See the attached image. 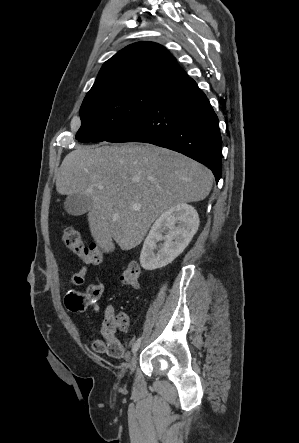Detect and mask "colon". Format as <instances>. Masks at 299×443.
Wrapping results in <instances>:
<instances>
[{
    "instance_id": "obj_1",
    "label": "colon",
    "mask_w": 299,
    "mask_h": 443,
    "mask_svg": "<svg viewBox=\"0 0 299 443\" xmlns=\"http://www.w3.org/2000/svg\"><path fill=\"white\" fill-rule=\"evenodd\" d=\"M62 240L65 245L84 263L96 266L103 260V251L96 245L86 246L79 232L71 226H64L61 231ZM140 270L136 262H129L121 273L120 280L125 285L137 286L139 282ZM127 325L126 316L123 313L117 314L110 323L113 332L125 328Z\"/></svg>"
}]
</instances>
